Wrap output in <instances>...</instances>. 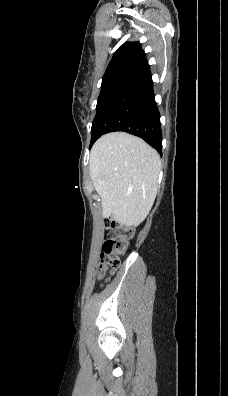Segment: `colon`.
<instances>
[{
  "label": "colon",
  "instance_id": "obj_1",
  "mask_svg": "<svg viewBox=\"0 0 228 396\" xmlns=\"http://www.w3.org/2000/svg\"><path fill=\"white\" fill-rule=\"evenodd\" d=\"M107 231L109 238L104 242L100 255L101 264L97 273L99 280L105 279L107 274H112L119 268V256L125 252L128 240L133 235L131 229L115 220L110 221Z\"/></svg>",
  "mask_w": 228,
  "mask_h": 396
}]
</instances>
